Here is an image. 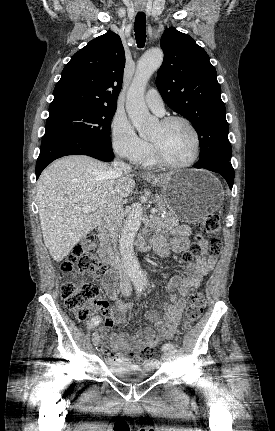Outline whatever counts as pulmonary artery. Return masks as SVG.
<instances>
[{"label": "pulmonary artery", "instance_id": "obj_1", "mask_svg": "<svg viewBox=\"0 0 275 431\" xmlns=\"http://www.w3.org/2000/svg\"><path fill=\"white\" fill-rule=\"evenodd\" d=\"M145 101H146L147 106L153 112H155L158 115L164 114V112H165L164 102H163L161 95L159 94V92L156 89L152 88L146 93Z\"/></svg>", "mask_w": 275, "mask_h": 431}]
</instances>
